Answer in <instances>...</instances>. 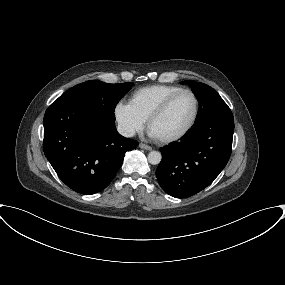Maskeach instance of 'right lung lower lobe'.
I'll return each mask as SVG.
<instances>
[{
  "instance_id": "1",
  "label": "right lung lower lobe",
  "mask_w": 285,
  "mask_h": 285,
  "mask_svg": "<svg viewBox=\"0 0 285 285\" xmlns=\"http://www.w3.org/2000/svg\"><path fill=\"white\" fill-rule=\"evenodd\" d=\"M138 142L121 136L114 122L78 106L53 102L44 115L43 150L61 181L85 195L108 186L126 151Z\"/></svg>"
}]
</instances>
